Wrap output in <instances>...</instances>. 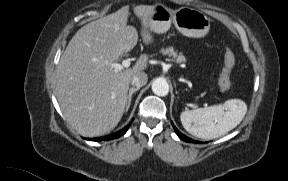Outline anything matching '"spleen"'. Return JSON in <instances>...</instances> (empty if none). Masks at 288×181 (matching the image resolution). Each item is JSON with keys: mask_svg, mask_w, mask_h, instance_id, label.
<instances>
[{"mask_svg": "<svg viewBox=\"0 0 288 181\" xmlns=\"http://www.w3.org/2000/svg\"><path fill=\"white\" fill-rule=\"evenodd\" d=\"M247 105L240 99H230L224 104L183 111L180 115L184 129L205 140L221 137L243 120Z\"/></svg>", "mask_w": 288, "mask_h": 181, "instance_id": "obj_1", "label": "spleen"}]
</instances>
